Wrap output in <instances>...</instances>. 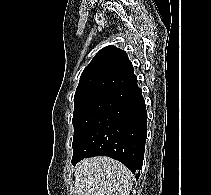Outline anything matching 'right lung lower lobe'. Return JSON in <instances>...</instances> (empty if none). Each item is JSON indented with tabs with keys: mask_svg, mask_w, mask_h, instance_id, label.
Here are the masks:
<instances>
[{
	"mask_svg": "<svg viewBox=\"0 0 211 195\" xmlns=\"http://www.w3.org/2000/svg\"><path fill=\"white\" fill-rule=\"evenodd\" d=\"M147 137V111L137 82L119 88L109 98L73 151L72 163L94 156L120 161L139 178Z\"/></svg>",
	"mask_w": 211,
	"mask_h": 195,
	"instance_id": "right-lung-lower-lobe-1",
	"label": "right lung lower lobe"
}]
</instances>
